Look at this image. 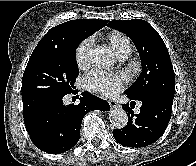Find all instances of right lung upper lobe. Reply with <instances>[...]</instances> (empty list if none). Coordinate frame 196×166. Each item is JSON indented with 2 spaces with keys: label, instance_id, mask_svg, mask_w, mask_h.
<instances>
[{
  "label": "right lung upper lobe",
  "instance_id": "right-lung-upper-lobe-1",
  "mask_svg": "<svg viewBox=\"0 0 196 166\" xmlns=\"http://www.w3.org/2000/svg\"><path fill=\"white\" fill-rule=\"evenodd\" d=\"M107 23L108 20L99 19H77L67 21L51 28L40 40L38 45L62 46L65 45L75 33L82 34L83 38L85 39L96 31L100 30L102 27L106 26Z\"/></svg>",
  "mask_w": 196,
  "mask_h": 166
}]
</instances>
